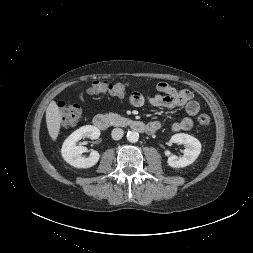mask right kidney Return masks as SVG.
<instances>
[{
	"label": "right kidney",
	"mask_w": 253,
	"mask_h": 253,
	"mask_svg": "<svg viewBox=\"0 0 253 253\" xmlns=\"http://www.w3.org/2000/svg\"><path fill=\"white\" fill-rule=\"evenodd\" d=\"M100 136V130L92 125L82 126L74 131L63 143L61 154L64 160L71 166L76 168H89L94 166L100 154L97 151H92L88 158L82 156L88 149L84 146H76V143L82 138L89 137L97 139Z\"/></svg>",
	"instance_id": "obj_1"
}]
</instances>
